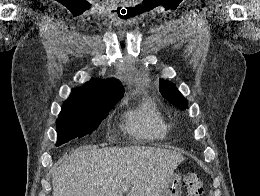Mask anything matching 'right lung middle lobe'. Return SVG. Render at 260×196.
I'll use <instances>...</instances> for the list:
<instances>
[{
  "label": "right lung middle lobe",
  "mask_w": 260,
  "mask_h": 196,
  "mask_svg": "<svg viewBox=\"0 0 260 196\" xmlns=\"http://www.w3.org/2000/svg\"><path fill=\"white\" fill-rule=\"evenodd\" d=\"M109 107L69 108L62 107L59 118L56 120L57 144L59 146L76 137L91 134L97 129L100 122L107 117Z\"/></svg>",
  "instance_id": "dd1d6c3e"
}]
</instances>
